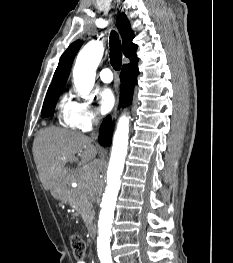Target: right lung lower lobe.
<instances>
[{
  "instance_id": "right-lung-lower-lobe-1",
  "label": "right lung lower lobe",
  "mask_w": 233,
  "mask_h": 263,
  "mask_svg": "<svg viewBox=\"0 0 233 263\" xmlns=\"http://www.w3.org/2000/svg\"><path fill=\"white\" fill-rule=\"evenodd\" d=\"M137 61H133L128 65H124L121 70V95L120 106L129 104L133 97V88L135 84V76L139 73L137 69ZM112 124L111 117L108 116L103 120L99 131V143L103 146L109 145L111 142Z\"/></svg>"
}]
</instances>
